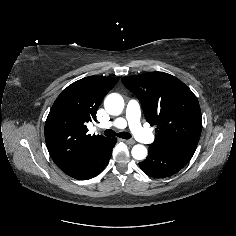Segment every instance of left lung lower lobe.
<instances>
[{"label": "left lung lower lobe", "instance_id": "1", "mask_svg": "<svg viewBox=\"0 0 236 236\" xmlns=\"http://www.w3.org/2000/svg\"><path fill=\"white\" fill-rule=\"evenodd\" d=\"M193 150H166L149 145V155L139 163L140 168L154 178H165L177 173L192 158Z\"/></svg>", "mask_w": 236, "mask_h": 236}]
</instances>
